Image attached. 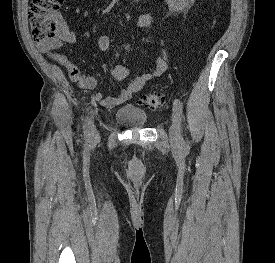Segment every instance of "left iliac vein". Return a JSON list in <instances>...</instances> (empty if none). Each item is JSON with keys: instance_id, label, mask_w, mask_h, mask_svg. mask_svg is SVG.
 Segmentation results:
<instances>
[{"instance_id": "left-iliac-vein-1", "label": "left iliac vein", "mask_w": 275, "mask_h": 263, "mask_svg": "<svg viewBox=\"0 0 275 263\" xmlns=\"http://www.w3.org/2000/svg\"><path fill=\"white\" fill-rule=\"evenodd\" d=\"M169 137L172 144H177L180 140L179 118L176 113L173 114L172 125L169 130Z\"/></svg>"}]
</instances>
